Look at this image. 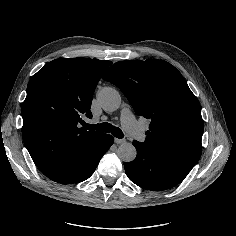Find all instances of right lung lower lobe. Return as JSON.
<instances>
[{"instance_id":"obj_1","label":"right lung lower lobe","mask_w":236,"mask_h":236,"mask_svg":"<svg viewBox=\"0 0 236 236\" xmlns=\"http://www.w3.org/2000/svg\"><path fill=\"white\" fill-rule=\"evenodd\" d=\"M111 135L98 137L75 148L60 168L49 178L61 184H73L86 180L95 171L101 157L113 144Z\"/></svg>"}]
</instances>
